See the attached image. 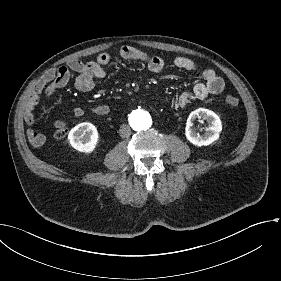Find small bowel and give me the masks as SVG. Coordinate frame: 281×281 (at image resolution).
<instances>
[{
  "mask_svg": "<svg viewBox=\"0 0 281 281\" xmlns=\"http://www.w3.org/2000/svg\"><path fill=\"white\" fill-rule=\"evenodd\" d=\"M120 56L123 59L140 61L146 64L147 68L153 73L161 72L165 67V61L160 56L149 55L137 48L124 46L120 49ZM111 60V56L103 52L99 54L96 60L82 62L74 59L68 63V66L50 69L43 74L35 85L34 94L27 101L24 110V119L29 128L25 134L29 137L34 146H42L45 142V136L35 131L31 126L35 121V109L42 96L50 97L55 91L65 87L71 78V71L78 73L74 86L81 92H88L94 86L95 79H101L106 76L104 66ZM173 66L190 72H198L203 81L196 83L189 91L180 95L166 99V105L172 110L184 109L192 106L199 100L205 99L210 95H218L223 92L225 82L214 70L210 68L200 69L198 65L189 58L176 57L173 60ZM111 111L107 104H98L90 108L83 106L74 107L70 114L74 117H82L87 112L97 115H107Z\"/></svg>",
  "mask_w": 281,
  "mask_h": 281,
  "instance_id": "c3829d8e",
  "label": "small bowel"
}]
</instances>
